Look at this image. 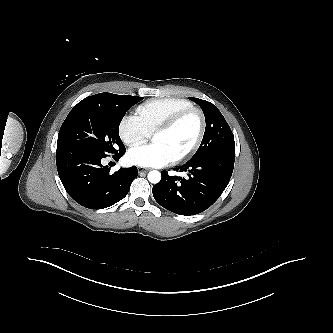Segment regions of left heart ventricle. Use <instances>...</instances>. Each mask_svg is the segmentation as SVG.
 Wrapping results in <instances>:
<instances>
[{
  "label": "left heart ventricle",
  "mask_w": 333,
  "mask_h": 333,
  "mask_svg": "<svg viewBox=\"0 0 333 333\" xmlns=\"http://www.w3.org/2000/svg\"><path fill=\"white\" fill-rule=\"evenodd\" d=\"M199 129V119L192 114L181 121L172 130L156 133L153 143L161 144L171 158L184 152L194 142Z\"/></svg>",
  "instance_id": "left-heart-ventricle-1"
}]
</instances>
